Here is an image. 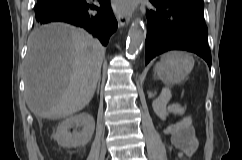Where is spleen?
<instances>
[{"label":"spleen","instance_id":"obj_1","mask_svg":"<svg viewBox=\"0 0 242 160\" xmlns=\"http://www.w3.org/2000/svg\"><path fill=\"white\" fill-rule=\"evenodd\" d=\"M162 63H157L156 66H155V71H159L161 68H162ZM171 98V92L168 88H164L162 90V93L160 95V97L158 98V101L161 102V103H167ZM170 111L172 112H180V109L178 107H170L169 108Z\"/></svg>","mask_w":242,"mask_h":160}]
</instances>
